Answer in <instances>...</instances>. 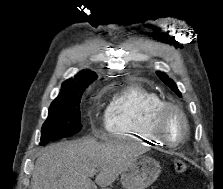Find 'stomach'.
I'll use <instances>...</instances> for the list:
<instances>
[{
	"instance_id": "stomach-1",
	"label": "stomach",
	"mask_w": 223,
	"mask_h": 189,
	"mask_svg": "<svg viewBox=\"0 0 223 189\" xmlns=\"http://www.w3.org/2000/svg\"><path fill=\"white\" fill-rule=\"evenodd\" d=\"M161 167L155 159L141 155L135 157L124 169L120 183L124 189H145L159 176Z\"/></svg>"
}]
</instances>
